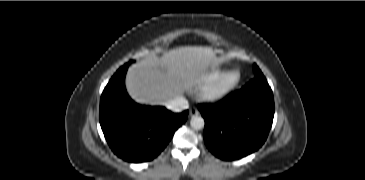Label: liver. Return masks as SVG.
I'll list each match as a JSON object with an SVG mask.
<instances>
[{"mask_svg": "<svg viewBox=\"0 0 365 180\" xmlns=\"http://www.w3.org/2000/svg\"><path fill=\"white\" fill-rule=\"evenodd\" d=\"M219 63L211 47H178L161 57L148 58L131 66L126 88L138 103L164 105L192 89L201 76Z\"/></svg>", "mask_w": 365, "mask_h": 180, "instance_id": "1", "label": "liver"}]
</instances>
